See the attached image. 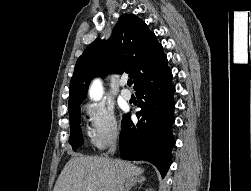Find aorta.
<instances>
[{"mask_svg": "<svg viewBox=\"0 0 251 191\" xmlns=\"http://www.w3.org/2000/svg\"><path fill=\"white\" fill-rule=\"evenodd\" d=\"M102 94L103 88L101 86V82H99V80H94V82H92L90 86L89 96L91 97V99H100V97H102Z\"/></svg>", "mask_w": 251, "mask_h": 191, "instance_id": "762f6f07", "label": "aorta"}]
</instances>
